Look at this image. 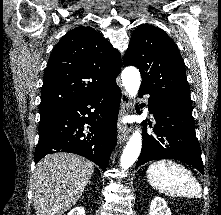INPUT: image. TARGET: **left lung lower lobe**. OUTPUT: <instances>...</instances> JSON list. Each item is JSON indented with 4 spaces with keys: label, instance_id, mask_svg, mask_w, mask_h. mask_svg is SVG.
Masks as SVG:
<instances>
[{
    "label": "left lung lower lobe",
    "instance_id": "obj_1",
    "mask_svg": "<svg viewBox=\"0 0 221 215\" xmlns=\"http://www.w3.org/2000/svg\"><path fill=\"white\" fill-rule=\"evenodd\" d=\"M144 94L149 93L140 88L139 96ZM148 102L149 111L156 120L155 135H149L146 127L143 129V147L136 168L152 160L176 159L204 173L192 107L176 105L151 95Z\"/></svg>",
    "mask_w": 221,
    "mask_h": 215
}]
</instances>
